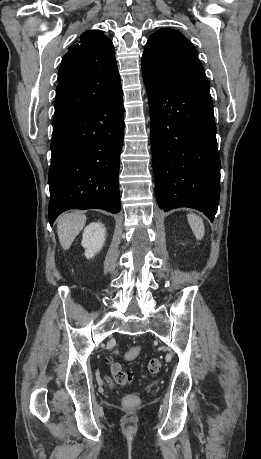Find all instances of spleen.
Wrapping results in <instances>:
<instances>
[{"mask_svg": "<svg viewBox=\"0 0 261 459\" xmlns=\"http://www.w3.org/2000/svg\"><path fill=\"white\" fill-rule=\"evenodd\" d=\"M187 219L196 239L202 240L205 234L203 219L196 214H188Z\"/></svg>", "mask_w": 261, "mask_h": 459, "instance_id": "spleen-1", "label": "spleen"}]
</instances>
